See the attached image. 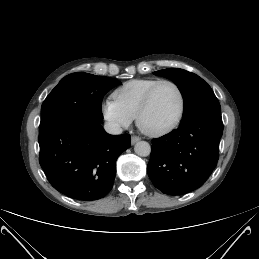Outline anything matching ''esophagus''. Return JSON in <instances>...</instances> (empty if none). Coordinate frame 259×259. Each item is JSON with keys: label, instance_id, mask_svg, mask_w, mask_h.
Here are the masks:
<instances>
[{"label": "esophagus", "instance_id": "1", "mask_svg": "<svg viewBox=\"0 0 259 259\" xmlns=\"http://www.w3.org/2000/svg\"><path fill=\"white\" fill-rule=\"evenodd\" d=\"M138 141H140V138L137 136H132L131 137V144L134 145L135 143H137Z\"/></svg>", "mask_w": 259, "mask_h": 259}]
</instances>
